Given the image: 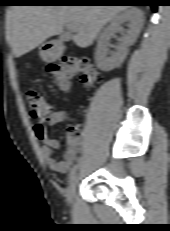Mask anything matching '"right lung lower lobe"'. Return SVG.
<instances>
[{
    "mask_svg": "<svg viewBox=\"0 0 170 231\" xmlns=\"http://www.w3.org/2000/svg\"><path fill=\"white\" fill-rule=\"evenodd\" d=\"M65 1L67 2L55 3L54 5H105V4H100L98 2H92L97 0H65ZM109 1H116V3H127L121 1H130V3H137V5H149L152 7L153 10H156L157 6L159 5L158 0H109Z\"/></svg>",
    "mask_w": 170,
    "mask_h": 231,
    "instance_id": "1",
    "label": "right lung lower lobe"
}]
</instances>
